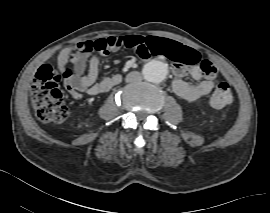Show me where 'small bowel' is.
<instances>
[{
  "label": "small bowel",
  "mask_w": 270,
  "mask_h": 213,
  "mask_svg": "<svg viewBox=\"0 0 270 213\" xmlns=\"http://www.w3.org/2000/svg\"><path fill=\"white\" fill-rule=\"evenodd\" d=\"M127 36L114 35L100 40H85L77 45L64 48L59 55V67L63 71L68 61L72 76L64 79L66 90L75 99L82 97L83 93L98 95L108 91L121 82L119 74L102 76L99 79V68L101 59L110 52L126 47ZM152 54H161L173 61L174 80L172 83L174 91L182 99L195 101L208 95L218 82L217 73L214 68L212 76H206L202 67L198 65L199 54L193 48L184 46L172 40L159 38L154 45H147L137 55L146 59ZM212 65L211 62H209ZM88 65V70H87ZM213 66V65H212ZM189 75L198 81L191 84L183 80Z\"/></svg>",
  "instance_id": "obj_1"
}]
</instances>
